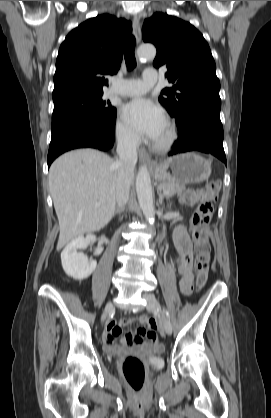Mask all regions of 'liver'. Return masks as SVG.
Segmentation results:
<instances>
[{"mask_svg":"<svg viewBox=\"0 0 271 418\" xmlns=\"http://www.w3.org/2000/svg\"><path fill=\"white\" fill-rule=\"evenodd\" d=\"M117 172L116 162L94 149L74 150L53 162L49 187L60 227L57 250L110 222L116 207Z\"/></svg>","mask_w":271,"mask_h":418,"instance_id":"1","label":"liver"}]
</instances>
